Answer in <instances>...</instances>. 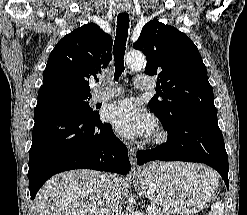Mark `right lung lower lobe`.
I'll list each match as a JSON object with an SVG mask.
<instances>
[{
  "mask_svg": "<svg viewBox=\"0 0 247 215\" xmlns=\"http://www.w3.org/2000/svg\"><path fill=\"white\" fill-rule=\"evenodd\" d=\"M29 152L31 199L52 175L72 169L127 174L126 146L99 115H84L48 98H38Z\"/></svg>",
  "mask_w": 247,
  "mask_h": 215,
  "instance_id": "obj_1",
  "label": "right lung lower lobe"
}]
</instances>
